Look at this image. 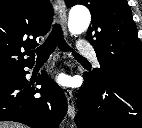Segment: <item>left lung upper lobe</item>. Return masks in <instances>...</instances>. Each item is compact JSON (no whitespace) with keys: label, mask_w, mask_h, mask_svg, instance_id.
<instances>
[{"label":"left lung upper lobe","mask_w":142,"mask_h":128,"mask_svg":"<svg viewBox=\"0 0 142 128\" xmlns=\"http://www.w3.org/2000/svg\"><path fill=\"white\" fill-rule=\"evenodd\" d=\"M89 8L92 16L86 39L94 45L100 68L96 77L142 80V45L127 0H66Z\"/></svg>","instance_id":"1"}]
</instances>
